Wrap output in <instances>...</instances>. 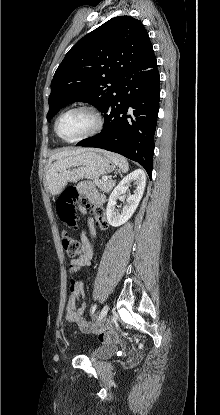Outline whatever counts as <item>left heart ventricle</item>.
Returning <instances> with one entry per match:
<instances>
[{
	"label": "left heart ventricle",
	"instance_id": "1",
	"mask_svg": "<svg viewBox=\"0 0 220 415\" xmlns=\"http://www.w3.org/2000/svg\"><path fill=\"white\" fill-rule=\"evenodd\" d=\"M95 125L94 116L87 111H73L59 121L57 131L64 139H75L89 132Z\"/></svg>",
	"mask_w": 220,
	"mask_h": 415
}]
</instances>
